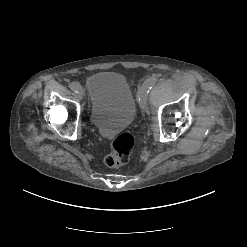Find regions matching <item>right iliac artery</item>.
I'll list each match as a JSON object with an SVG mask.
<instances>
[{"mask_svg": "<svg viewBox=\"0 0 247 247\" xmlns=\"http://www.w3.org/2000/svg\"><path fill=\"white\" fill-rule=\"evenodd\" d=\"M69 87L71 88V90L75 91L76 93H78L79 91H82L81 85L77 82L70 83Z\"/></svg>", "mask_w": 247, "mask_h": 247, "instance_id": "right-iliac-artery-1", "label": "right iliac artery"}]
</instances>
